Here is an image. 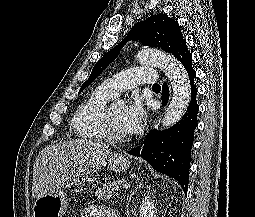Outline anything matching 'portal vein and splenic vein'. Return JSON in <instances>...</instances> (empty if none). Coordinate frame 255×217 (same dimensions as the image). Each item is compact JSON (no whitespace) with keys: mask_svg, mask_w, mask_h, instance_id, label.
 Masks as SVG:
<instances>
[{"mask_svg":"<svg viewBox=\"0 0 255 217\" xmlns=\"http://www.w3.org/2000/svg\"><path fill=\"white\" fill-rule=\"evenodd\" d=\"M124 188H125V189L129 188V185H128V184H125V185H124Z\"/></svg>","mask_w":255,"mask_h":217,"instance_id":"18ae733b","label":"portal vein and splenic vein"}]
</instances>
